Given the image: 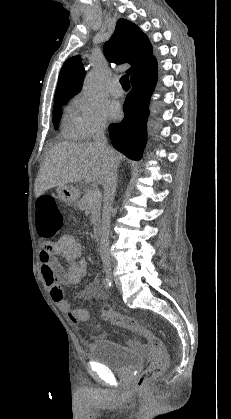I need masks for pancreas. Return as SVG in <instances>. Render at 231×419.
Masks as SVG:
<instances>
[{"mask_svg": "<svg viewBox=\"0 0 231 419\" xmlns=\"http://www.w3.org/2000/svg\"><path fill=\"white\" fill-rule=\"evenodd\" d=\"M89 193L90 191H86L82 198L77 202V206L81 210L90 209L91 223L94 224L100 217L101 198L90 200Z\"/></svg>", "mask_w": 231, "mask_h": 419, "instance_id": "pancreas-1", "label": "pancreas"}]
</instances>
